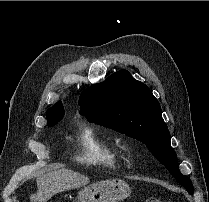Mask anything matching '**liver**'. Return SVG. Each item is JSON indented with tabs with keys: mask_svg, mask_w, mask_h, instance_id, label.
I'll use <instances>...</instances> for the list:
<instances>
[{
	"mask_svg": "<svg viewBox=\"0 0 209 202\" xmlns=\"http://www.w3.org/2000/svg\"><path fill=\"white\" fill-rule=\"evenodd\" d=\"M36 182L37 192L30 195V200L46 202L57 193L87 185L89 178L69 169H59L38 176Z\"/></svg>",
	"mask_w": 209,
	"mask_h": 202,
	"instance_id": "obj_1",
	"label": "liver"
}]
</instances>
